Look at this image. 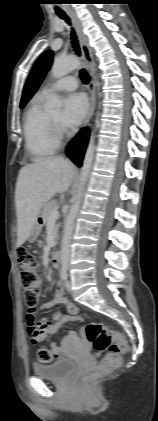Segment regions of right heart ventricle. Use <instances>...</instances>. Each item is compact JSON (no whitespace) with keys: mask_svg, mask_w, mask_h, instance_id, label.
Instances as JSON below:
<instances>
[{"mask_svg":"<svg viewBox=\"0 0 158 421\" xmlns=\"http://www.w3.org/2000/svg\"><path fill=\"white\" fill-rule=\"evenodd\" d=\"M45 100V96L37 94L25 115V146L34 161H41L51 156L58 148L51 135L49 115L44 110Z\"/></svg>","mask_w":158,"mask_h":421,"instance_id":"1","label":"right heart ventricle"}]
</instances>
